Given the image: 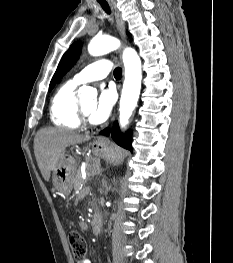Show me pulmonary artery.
I'll return each instance as SVG.
<instances>
[{"mask_svg": "<svg viewBox=\"0 0 233 263\" xmlns=\"http://www.w3.org/2000/svg\"><path fill=\"white\" fill-rule=\"evenodd\" d=\"M112 70V64L108 59L95 61L80 70L73 80L77 84H85L91 81L101 80L107 77Z\"/></svg>", "mask_w": 233, "mask_h": 263, "instance_id": "e3ab8cb5", "label": "pulmonary artery"}]
</instances>
